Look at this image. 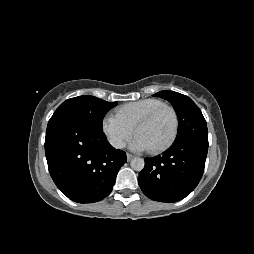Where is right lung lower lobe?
Instances as JSON below:
<instances>
[{
	"label": "right lung lower lobe",
	"instance_id": "1",
	"mask_svg": "<svg viewBox=\"0 0 254 254\" xmlns=\"http://www.w3.org/2000/svg\"><path fill=\"white\" fill-rule=\"evenodd\" d=\"M45 154L54 183L78 203L108 196L127 161L126 153L112 147L101 129L70 118L49 121Z\"/></svg>",
	"mask_w": 254,
	"mask_h": 254
}]
</instances>
